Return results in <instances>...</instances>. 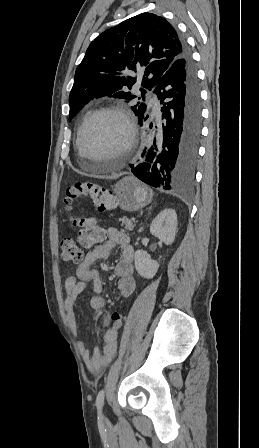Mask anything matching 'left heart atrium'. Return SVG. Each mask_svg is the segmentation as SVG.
Instances as JSON below:
<instances>
[{
    "mask_svg": "<svg viewBox=\"0 0 259 448\" xmlns=\"http://www.w3.org/2000/svg\"><path fill=\"white\" fill-rule=\"evenodd\" d=\"M153 156H154V152H153L152 150H148V151L146 152L147 160H152V159H153Z\"/></svg>",
    "mask_w": 259,
    "mask_h": 448,
    "instance_id": "left-heart-atrium-1",
    "label": "left heart atrium"
}]
</instances>
